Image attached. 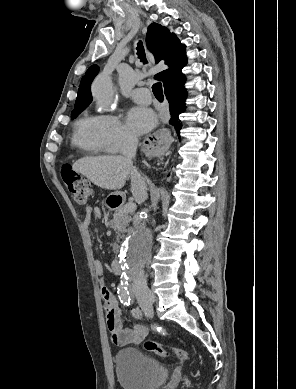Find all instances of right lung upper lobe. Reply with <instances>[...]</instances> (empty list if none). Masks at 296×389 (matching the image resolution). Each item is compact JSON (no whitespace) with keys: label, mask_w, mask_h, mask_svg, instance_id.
Listing matches in <instances>:
<instances>
[{"label":"right lung upper lobe","mask_w":296,"mask_h":389,"mask_svg":"<svg viewBox=\"0 0 296 389\" xmlns=\"http://www.w3.org/2000/svg\"><path fill=\"white\" fill-rule=\"evenodd\" d=\"M146 43L148 49L154 54L156 63L165 59V63L170 67L168 70L158 73L155 76L156 79L165 85L175 77H184L181 70L187 63L185 46L180 43L174 33H170L167 28L157 23H152L148 27ZM97 73L98 67L93 65L82 77L74 110L87 107L91 103L90 85Z\"/></svg>","instance_id":"obj_1"}]
</instances>
